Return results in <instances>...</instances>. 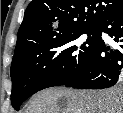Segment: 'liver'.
I'll return each mask as SVG.
<instances>
[{"label":"liver","mask_w":123,"mask_h":113,"mask_svg":"<svg viewBox=\"0 0 123 113\" xmlns=\"http://www.w3.org/2000/svg\"><path fill=\"white\" fill-rule=\"evenodd\" d=\"M25 113H123V89H44L33 96Z\"/></svg>","instance_id":"obj_1"}]
</instances>
